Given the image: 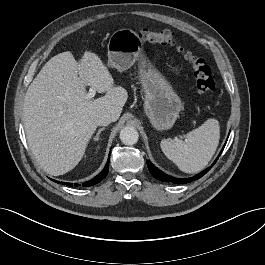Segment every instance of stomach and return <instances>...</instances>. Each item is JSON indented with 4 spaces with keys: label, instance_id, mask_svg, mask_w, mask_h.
<instances>
[{
    "label": "stomach",
    "instance_id": "obj_1",
    "mask_svg": "<svg viewBox=\"0 0 265 265\" xmlns=\"http://www.w3.org/2000/svg\"><path fill=\"white\" fill-rule=\"evenodd\" d=\"M107 48L108 66L119 71L129 69L139 60L144 112L155 129H170L182 110V101L169 81L144 57L139 35L131 29L117 30L111 35Z\"/></svg>",
    "mask_w": 265,
    "mask_h": 265
}]
</instances>
